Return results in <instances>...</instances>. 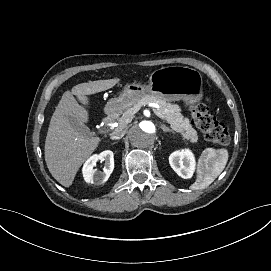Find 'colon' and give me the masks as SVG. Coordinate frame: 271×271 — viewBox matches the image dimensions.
<instances>
[{"label": "colon", "instance_id": "obj_1", "mask_svg": "<svg viewBox=\"0 0 271 271\" xmlns=\"http://www.w3.org/2000/svg\"><path fill=\"white\" fill-rule=\"evenodd\" d=\"M209 100L204 98L197 104L191 106L190 111L194 123L204 133L205 138L219 145H227L230 142V134L227 127L208 110Z\"/></svg>", "mask_w": 271, "mask_h": 271}]
</instances>
